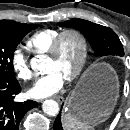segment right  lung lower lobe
Returning <instances> with one entry per match:
<instances>
[{
	"mask_svg": "<svg viewBox=\"0 0 130 130\" xmlns=\"http://www.w3.org/2000/svg\"><path fill=\"white\" fill-rule=\"evenodd\" d=\"M20 91L18 81L0 77V130H19L25 113L37 106L35 101L14 102L15 95Z\"/></svg>",
	"mask_w": 130,
	"mask_h": 130,
	"instance_id": "right-lung-lower-lobe-1",
	"label": "right lung lower lobe"
}]
</instances>
